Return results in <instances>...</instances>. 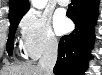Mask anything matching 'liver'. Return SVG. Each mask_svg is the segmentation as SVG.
I'll use <instances>...</instances> for the list:
<instances>
[{
	"label": "liver",
	"mask_w": 102,
	"mask_h": 75,
	"mask_svg": "<svg viewBox=\"0 0 102 75\" xmlns=\"http://www.w3.org/2000/svg\"><path fill=\"white\" fill-rule=\"evenodd\" d=\"M0 75H46L38 65L22 64L6 66L0 71Z\"/></svg>",
	"instance_id": "6515ba94"
}]
</instances>
